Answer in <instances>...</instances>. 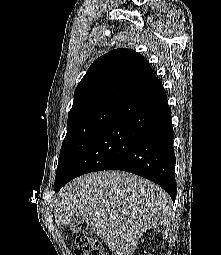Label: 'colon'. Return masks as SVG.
<instances>
[{"instance_id": "1", "label": "colon", "mask_w": 221, "mask_h": 255, "mask_svg": "<svg viewBox=\"0 0 221 255\" xmlns=\"http://www.w3.org/2000/svg\"><path fill=\"white\" fill-rule=\"evenodd\" d=\"M75 255H107L98 240L88 234L79 235L75 240Z\"/></svg>"}]
</instances>
